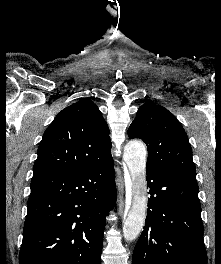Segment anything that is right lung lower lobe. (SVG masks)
<instances>
[{
	"label": "right lung lower lobe",
	"mask_w": 221,
	"mask_h": 264,
	"mask_svg": "<svg viewBox=\"0 0 221 264\" xmlns=\"http://www.w3.org/2000/svg\"><path fill=\"white\" fill-rule=\"evenodd\" d=\"M20 264H101L106 216L116 198L113 158L32 179Z\"/></svg>",
	"instance_id": "98d812e1"
}]
</instances>
